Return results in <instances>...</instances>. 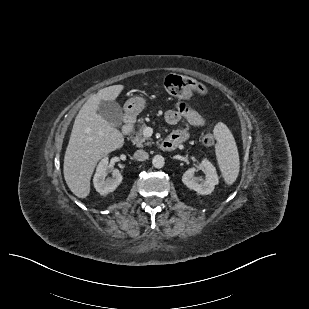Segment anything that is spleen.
Listing matches in <instances>:
<instances>
[{"label":"spleen","mask_w":309,"mask_h":309,"mask_svg":"<svg viewBox=\"0 0 309 309\" xmlns=\"http://www.w3.org/2000/svg\"><path fill=\"white\" fill-rule=\"evenodd\" d=\"M214 136L217 140L216 158L222 176L227 185H232L239 174L240 161L235 139L228 127L219 122L214 127Z\"/></svg>","instance_id":"obj_1"}]
</instances>
